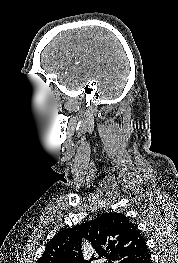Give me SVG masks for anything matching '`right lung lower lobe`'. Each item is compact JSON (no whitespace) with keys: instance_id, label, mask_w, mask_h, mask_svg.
<instances>
[{"instance_id":"98d812e1","label":"right lung lower lobe","mask_w":178,"mask_h":263,"mask_svg":"<svg viewBox=\"0 0 178 263\" xmlns=\"http://www.w3.org/2000/svg\"><path fill=\"white\" fill-rule=\"evenodd\" d=\"M139 263H152L151 254L148 253Z\"/></svg>"}]
</instances>
